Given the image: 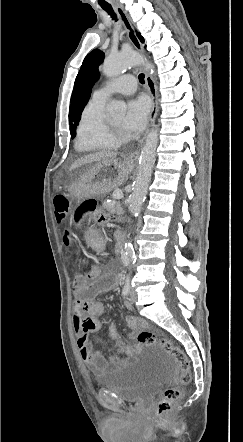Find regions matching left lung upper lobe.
Masks as SVG:
<instances>
[{"instance_id": "left-lung-upper-lobe-1", "label": "left lung upper lobe", "mask_w": 243, "mask_h": 442, "mask_svg": "<svg viewBox=\"0 0 243 442\" xmlns=\"http://www.w3.org/2000/svg\"><path fill=\"white\" fill-rule=\"evenodd\" d=\"M137 36L141 42H144L143 37L139 33ZM103 59L104 53L101 50L94 49L85 57L82 63L73 91L75 96L73 120L75 124L79 123L81 113L90 98L91 88L99 77L98 67ZM75 131L76 125H72L70 128L71 138L75 137Z\"/></svg>"}]
</instances>
